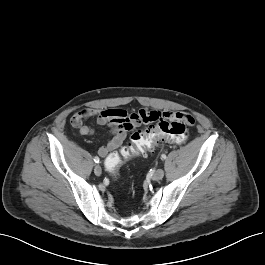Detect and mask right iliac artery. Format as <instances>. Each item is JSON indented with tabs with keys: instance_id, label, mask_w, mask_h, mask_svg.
<instances>
[{
	"instance_id": "82829eb1",
	"label": "right iliac artery",
	"mask_w": 265,
	"mask_h": 265,
	"mask_svg": "<svg viewBox=\"0 0 265 265\" xmlns=\"http://www.w3.org/2000/svg\"><path fill=\"white\" fill-rule=\"evenodd\" d=\"M94 161L96 162V163H99L100 162V159H99V157H94Z\"/></svg>"
}]
</instances>
